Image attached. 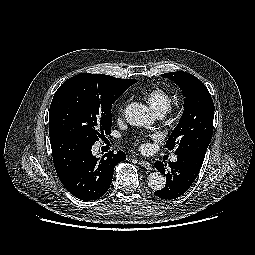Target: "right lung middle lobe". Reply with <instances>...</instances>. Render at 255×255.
Returning <instances> with one entry per match:
<instances>
[{"mask_svg":"<svg viewBox=\"0 0 255 255\" xmlns=\"http://www.w3.org/2000/svg\"><path fill=\"white\" fill-rule=\"evenodd\" d=\"M136 82L90 73L66 80L50 105V137L62 133L95 143L110 134L112 104Z\"/></svg>","mask_w":255,"mask_h":255,"instance_id":"dd1d6c3e","label":"right lung middle lobe"}]
</instances>
